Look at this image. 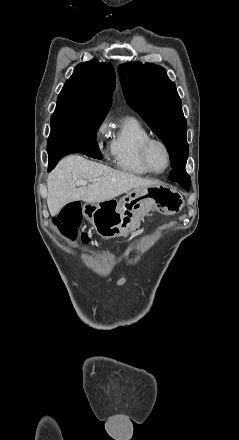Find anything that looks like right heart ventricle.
Listing matches in <instances>:
<instances>
[{
	"instance_id": "e07e8e85",
	"label": "right heart ventricle",
	"mask_w": 239,
	"mask_h": 440,
	"mask_svg": "<svg viewBox=\"0 0 239 440\" xmlns=\"http://www.w3.org/2000/svg\"><path fill=\"white\" fill-rule=\"evenodd\" d=\"M150 137L149 131L137 119L127 117L113 134L110 143L111 163L131 174H150L141 159V145Z\"/></svg>"
}]
</instances>
